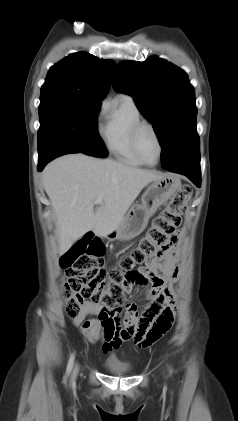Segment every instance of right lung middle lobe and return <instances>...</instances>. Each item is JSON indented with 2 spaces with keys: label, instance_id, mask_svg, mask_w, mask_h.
<instances>
[{
  "label": "right lung middle lobe",
  "instance_id": "dd1d6c3e",
  "mask_svg": "<svg viewBox=\"0 0 238 421\" xmlns=\"http://www.w3.org/2000/svg\"><path fill=\"white\" fill-rule=\"evenodd\" d=\"M101 101L78 93L41 91L38 151L53 141H61L87 155L107 157L96 123Z\"/></svg>",
  "mask_w": 238,
  "mask_h": 421
}]
</instances>
